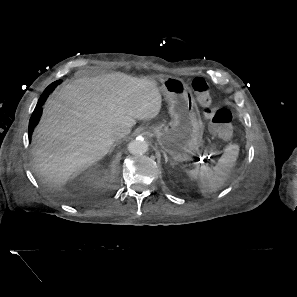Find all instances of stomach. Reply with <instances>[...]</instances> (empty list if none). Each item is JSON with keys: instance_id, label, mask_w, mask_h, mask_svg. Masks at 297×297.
Masks as SVG:
<instances>
[{"instance_id": "stomach-1", "label": "stomach", "mask_w": 297, "mask_h": 297, "mask_svg": "<svg viewBox=\"0 0 297 297\" xmlns=\"http://www.w3.org/2000/svg\"><path fill=\"white\" fill-rule=\"evenodd\" d=\"M160 90L169 103V124L152 128L158 144L172 159L184 162L199 153L203 145V123L192 92L181 79L160 80Z\"/></svg>"}]
</instances>
